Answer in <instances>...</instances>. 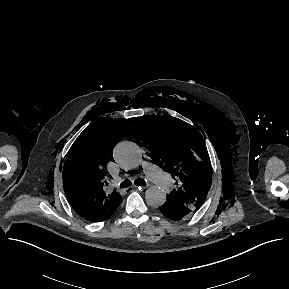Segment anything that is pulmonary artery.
<instances>
[{
  "mask_svg": "<svg viewBox=\"0 0 289 289\" xmlns=\"http://www.w3.org/2000/svg\"><path fill=\"white\" fill-rule=\"evenodd\" d=\"M143 171L152 179L159 188L167 190L171 187V179L166 175L158 166L153 164L149 159H146L142 163Z\"/></svg>",
  "mask_w": 289,
  "mask_h": 289,
  "instance_id": "obj_1",
  "label": "pulmonary artery"
}]
</instances>
